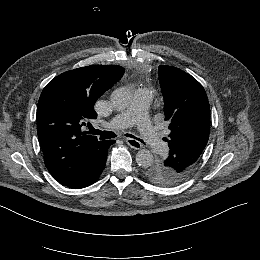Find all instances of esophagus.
<instances>
[{
    "instance_id": "34e87169",
    "label": "esophagus",
    "mask_w": 260,
    "mask_h": 260,
    "mask_svg": "<svg viewBox=\"0 0 260 260\" xmlns=\"http://www.w3.org/2000/svg\"><path fill=\"white\" fill-rule=\"evenodd\" d=\"M126 143L133 149H141L142 148V144L133 138H126Z\"/></svg>"
}]
</instances>
